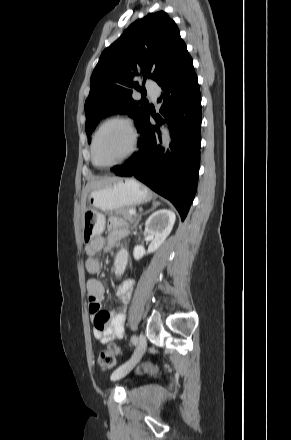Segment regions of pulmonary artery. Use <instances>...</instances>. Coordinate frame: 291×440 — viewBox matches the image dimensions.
<instances>
[{"instance_id":"1","label":"pulmonary artery","mask_w":291,"mask_h":440,"mask_svg":"<svg viewBox=\"0 0 291 440\" xmlns=\"http://www.w3.org/2000/svg\"><path fill=\"white\" fill-rule=\"evenodd\" d=\"M146 86L150 96L155 99L159 95L158 86L155 83L149 81L146 82Z\"/></svg>"}]
</instances>
